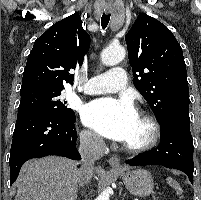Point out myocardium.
I'll return each mask as SVG.
<instances>
[{"mask_svg":"<svg viewBox=\"0 0 201 200\" xmlns=\"http://www.w3.org/2000/svg\"><path fill=\"white\" fill-rule=\"evenodd\" d=\"M138 116L143 118L149 125L150 135L145 142L138 145H130L124 143L123 146L125 150L132 153H141L152 149L157 145L161 136V126L158 120L150 112L146 110H140L138 112Z\"/></svg>","mask_w":201,"mask_h":200,"instance_id":"myocardium-1","label":"myocardium"}]
</instances>
